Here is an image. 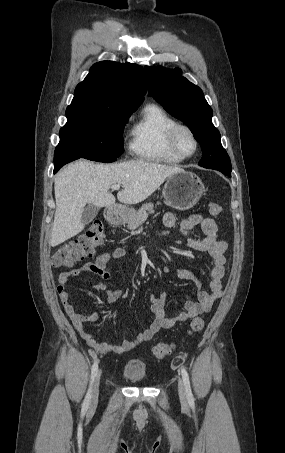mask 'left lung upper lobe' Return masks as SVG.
<instances>
[{
    "instance_id": "1",
    "label": "left lung upper lobe",
    "mask_w": 285,
    "mask_h": 453,
    "mask_svg": "<svg viewBox=\"0 0 285 453\" xmlns=\"http://www.w3.org/2000/svg\"><path fill=\"white\" fill-rule=\"evenodd\" d=\"M149 90L155 100L173 117L184 122L201 145L200 166L231 177V162L222 147L220 133L212 123V109L202 90L181 76V70L145 67Z\"/></svg>"
}]
</instances>
